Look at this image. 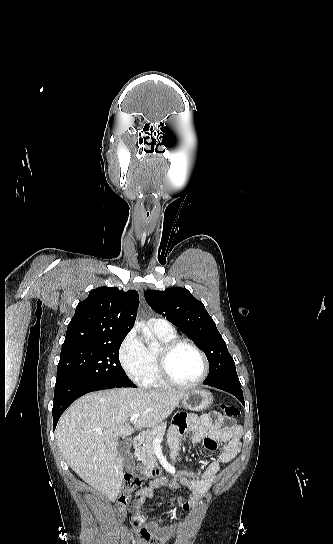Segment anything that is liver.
Here are the masks:
<instances>
[{"label": "liver", "mask_w": 333, "mask_h": 544, "mask_svg": "<svg viewBox=\"0 0 333 544\" xmlns=\"http://www.w3.org/2000/svg\"><path fill=\"white\" fill-rule=\"evenodd\" d=\"M186 393L120 388L86 394L63 413L57 424L59 449L81 479L115 501L124 475L123 459L117 455L119 437L158 425ZM135 413L140 416L133 428L127 422Z\"/></svg>", "instance_id": "liver-1"}]
</instances>
